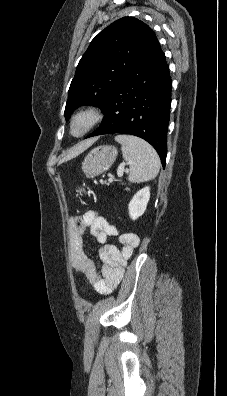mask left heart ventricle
<instances>
[{"label": "left heart ventricle", "mask_w": 227, "mask_h": 396, "mask_svg": "<svg viewBox=\"0 0 227 396\" xmlns=\"http://www.w3.org/2000/svg\"><path fill=\"white\" fill-rule=\"evenodd\" d=\"M82 123L81 122H79V123H77L76 125H75V127H74V131L75 132H79L81 129H82Z\"/></svg>", "instance_id": "obj_1"}]
</instances>
